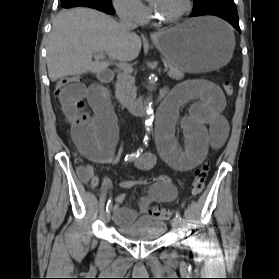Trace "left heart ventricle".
<instances>
[{"label": "left heart ventricle", "instance_id": "obj_1", "mask_svg": "<svg viewBox=\"0 0 279 279\" xmlns=\"http://www.w3.org/2000/svg\"><path fill=\"white\" fill-rule=\"evenodd\" d=\"M185 5V0H156L154 9L155 13L160 17H173Z\"/></svg>", "mask_w": 279, "mask_h": 279}]
</instances>
